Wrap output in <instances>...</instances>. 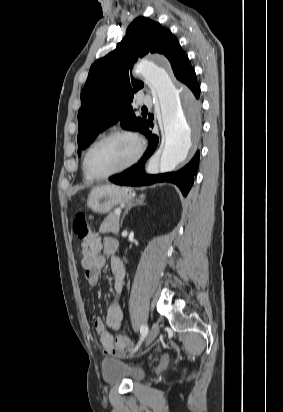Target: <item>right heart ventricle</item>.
I'll return each instance as SVG.
<instances>
[{
	"label": "right heart ventricle",
	"instance_id": "1",
	"mask_svg": "<svg viewBox=\"0 0 283 412\" xmlns=\"http://www.w3.org/2000/svg\"><path fill=\"white\" fill-rule=\"evenodd\" d=\"M83 174H84V178H85V180H87V181H91L92 180V178L86 173V171L84 170V167H83Z\"/></svg>",
	"mask_w": 283,
	"mask_h": 412
}]
</instances>
